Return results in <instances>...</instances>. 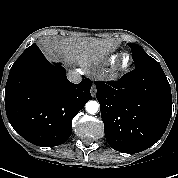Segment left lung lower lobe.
<instances>
[{
  "label": "left lung lower lobe",
  "mask_w": 178,
  "mask_h": 178,
  "mask_svg": "<svg viewBox=\"0 0 178 178\" xmlns=\"http://www.w3.org/2000/svg\"><path fill=\"white\" fill-rule=\"evenodd\" d=\"M108 144L138 153L164 134L172 113L170 84L158 62L136 67L119 81L95 82Z\"/></svg>",
  "instance_id": "1"
}]
</instances>
